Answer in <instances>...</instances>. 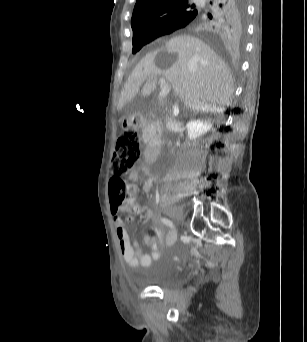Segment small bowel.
<instances>
[{
	"label": "small bowel",
	"mask_w": 307,
	"mask_h": 342,
	"mask_svg": "<svg viewBox=\"0 0 307 342\" xmlns=\"http://www.w3.org/2000/svg\"><path fill=\"white\" fill-rule=\"evenodd\" d=\"M138 179V172H134L132 174V180L136 181ZM150 184L147 181L144 184V191L147 192L149 190ZM135 189V188H134ZM133 189V190H134ZM124 212H127L126 208H123ZM153 218V212L151 210H146L143 214L142 220L143 222H147ZM127 219V218H126ZM130 221L131 219H127ZM113 223L116 232V238L118 241L120 253L122 258L132 268H137L139 266L147 267L150 265L153 259H157L160 255V246L159 239L164 236V233L161 231L159 226L156 224L155 229L158 230L157 235L149 236L146 235L144 241L151 248V253L146 254L143 252L141 245L130 238L128 233L125 221L119 217L115 216L113 218Z\"/></svg>",
	"instance_id": "1"
}]
</instances>
